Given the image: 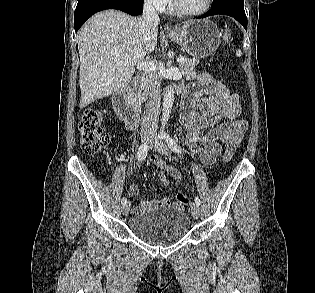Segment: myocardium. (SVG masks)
<instances>
[{
	"label": "myocardium",
	"mask_w": 315,
	"mask_h": 293,
	"mask_svg": "<svg viewBox=\"0 0 315 293\" xmlns=\"http://www.w3.org/2000/svg\"><path fill=\"white\" fill-rule=\"evenodd\" d=\"M171 2H172L173 10L175 12H177L178 14H180V15H183V16H199V15H202V14L206 13L210 9L213 0H206L205 5L201 9L193 10V11L184 9L180 5L178 0H171Z\"/></svg>",
	"instance_id": "myocardium-1"
}]
</instances>
